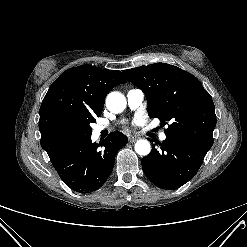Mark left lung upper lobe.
I'll list each match as a JSON object with an SVG mask.
<instances>
[{
  "label": "left lung upper lobe",
  "instance_id": "left-lung-upper-lobe-1",
  "mask_svg": "<svg viewBox=\"0 0 247 247\" xmlns=\"http://www.w3.org/2000/svg\"><path fill=\"white\" fill-rule=\"evenodd\" d=\"M127 79L145 94L148 115L170 122L166 136L186 138L211 148L216 126L209 93L192 74L166 63L124 70Z\"/></svg>",
  "mask_w": 247,
  "mask_h": 247
}]
</instances>
